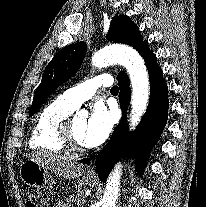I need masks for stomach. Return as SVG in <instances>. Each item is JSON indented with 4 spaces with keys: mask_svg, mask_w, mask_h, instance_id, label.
Masks as SVG:
<instances>
[{
    "mask_svg": "<svg viewBox=\"0 0 206 207\" xmlns=\"http://www.w3.org/2000/svg\"><path fill=\"white\" fill-rule=\"evenodd\" d=\"M19 173L24 183L29 186L49 190L55 187L50 171L32 159H27L21 163ZM83 181L90 186L96 185V180L87 176L83 178Z\"/></svg>",
    "mask_w": 206,
    "mask_h": 207,
    "instance_id": "0dacf381",
    "label": "stomach"
}]
</instances>
